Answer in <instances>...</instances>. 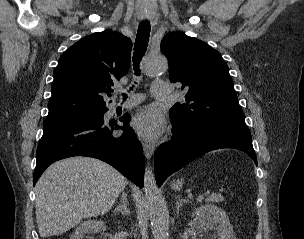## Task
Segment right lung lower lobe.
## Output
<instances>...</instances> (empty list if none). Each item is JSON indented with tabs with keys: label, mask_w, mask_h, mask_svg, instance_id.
<instances>
[{
	"label": "right lung lower lobe",
	"mask_w": 304,
	"mask_h": 239,
	"mask_svg": "<svg viewBox=\"0 0 304 239\" xmlns=\"http://www.w3.org/2000/svg\"><path fill=\"white\" fill-rule=\"evenodd\" d=\"M107 110L105 108V112ZM129 120L128 114L120 118L123 127L115 121H104L103 117L91 121L44 125L37 148L33 185L53 162L71 156H89L110 164L127 179L143 187V150L128 126ZM116 129H123L124 133L114 136L112 132Z\"/></svg>",
	"instance_id": "1"
}]
</instances>
